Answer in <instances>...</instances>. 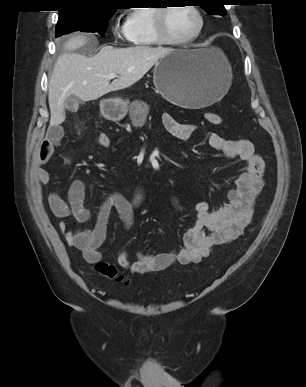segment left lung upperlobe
<instances>
[{
    "label": "left lung upper lobe",
    "instance_id": "1",
    "mask_svg": "<svg viewBox=\"0 0 306 387\" xmlns=\"http://www.w3.org/2000/svg\"><path fill=\"white\" fill-rule=\"evenodd\" d=\"M199 6L210 15H221L224 16L226 11L223 6L225 0H197Z\"/></svg>",
    "mask_w": 306,
    "mask_h": 387
}]
</instances>
